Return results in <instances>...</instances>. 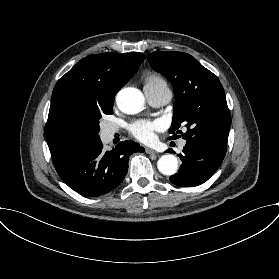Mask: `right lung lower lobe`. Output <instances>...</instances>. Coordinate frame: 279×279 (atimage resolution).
Returning a JSON list of instances; mask_svg holds the SVG:
<instances>
[{"label":"right lung lower lobe","instance_id":"98d812e1","mask_svg":"<svg viewBox=\"0 0 279 279\" xmlns=\"http://www.w3.org/2000/svg\"><path fill=\"white\" fill-rule=\"evenodd\" d=\"M99 140L78 157L56 169L60 178L73 190L86 197H97L118 187L128 171V159L134 152H143L138 143L127 140L116 149L102 152Z\"/></svg>","mask_w":279,"mask_h":279}]
</instances>
